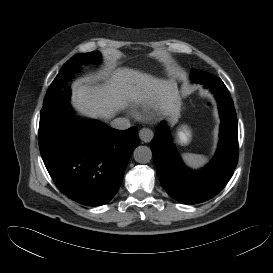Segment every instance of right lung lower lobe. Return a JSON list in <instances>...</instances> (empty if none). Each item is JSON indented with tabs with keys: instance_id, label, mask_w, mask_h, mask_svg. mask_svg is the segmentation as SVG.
<instances>
[{
	"instance_id": "98d812e1",
	"label": "right lung lower lobe",
	"mask_w": 273,
	"mask_h": 273,
	"mask_svg": "<svg viewBox=\"0 0 273 273\" xmlns=\"http://www.w3.org/2000/svg\"><path fill=\"white\" fill-rule=\"evenodd\" d=\"M65 89L40 112L39 147L56 186L87 206L109 202L119 189L128 160L138 146L137 128L117 130L99 121L82 122Z\"/></svg>"
}]
</instances>
